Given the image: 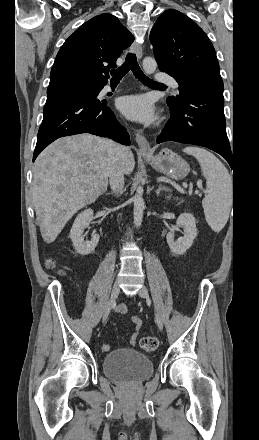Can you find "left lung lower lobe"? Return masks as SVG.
<instances>
[{
  "label": "left lung lower lobe",
  "instance_id": "0a47b994",
  "mask_svg": "<svg viewBox=\"0 0 259 440\" xmlns=\"http://www.w3.org/2000/svg\"><path fill=\"white\" fill-rule=\"evenodd\" d=\"M161 71H164L160 68ZM171 118L156 142L175 141L209 148L232 166V153L226 134L223 91L196 87L182 95L175 106L167 102Z\"/></svg>",
  "mask_w": 259,
  "mask_h": 440
}]
</instances>
